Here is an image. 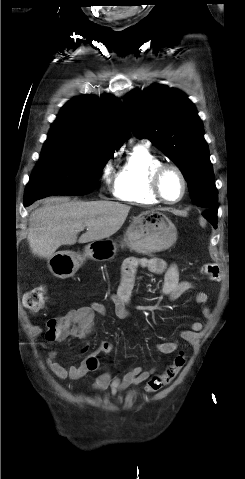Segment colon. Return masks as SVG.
Wrapping results in <instances>:
<instances>
[{"label":"colon","instance_id":"5ec220e1","mask_svg":"<svg viewBox=\"0 0 245 479\" xmlns=\"http://www.w3.org/2000/svg\"><path fill=\"white\" fill-rule=\"evenodd\" d=\"M203 272L210 279L215 280L219 273L218 266L214 263H205L203 265ZM47 298L45 289L43 287H36L24 295L23 304L29 312H37L44 306ZM47 327L46 338L48 340H61L67 337L69 325L62 318L52 319L51 325ZM185 361L184 354L179 353L174 357L163 373L153 376L147 381L145 391L153 394L163 390L182 370Z\"/></svg>","mask_w":245,"mask_h":479}]
</instances>
